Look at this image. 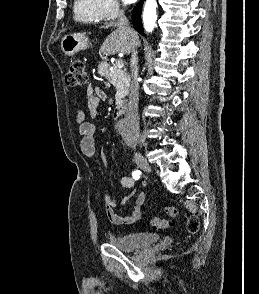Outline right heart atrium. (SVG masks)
Instances as JSON below:
<instances>
[{
  "label": "right heart atrium",
  "instance_id": "1",
  "mask_svg": "<svg viewBox=\"0 0 259 294\" xmlns=\"http://www.w3.org/2000/svg\"><path fill=\"white\" fill-rule=\"evenodd\" d=\"M98 3L106 20L115 19L122 12V5L118 0H98Z\"/></svg>",
  "mask_w": 259,
  "mask_h": 294
}]
</instances>
